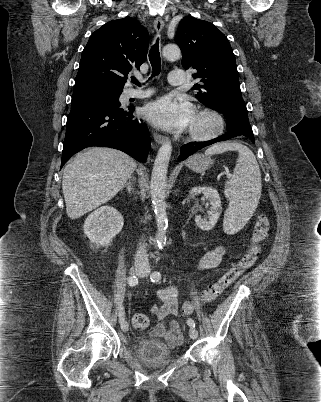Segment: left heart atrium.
<instances>
[{"label": "left heart atrium", "instance_id": "left-heart-atrium-1", "mask_svg": "<svg viewBox=\"0 0 321 402\" xmlns=\"http://www.w3.org/2000/svg\"><path fill=\"white\" fill-rule=\"evenodd\" d=\"M144 115L155 126L174 131L188 127L194 111L187 101L163 97L149 103L144 109Z\"/></svg>", "mask_w": 321, "mask_h": 402}]
</instances>
